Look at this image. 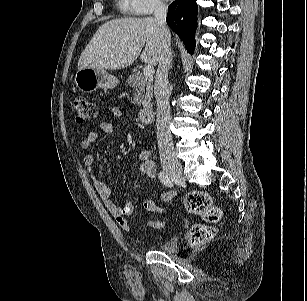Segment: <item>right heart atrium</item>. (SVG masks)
Segmentation results:
<instances>
[{"instance_id":"1","label":"right heart atrium","mask_w":307,"mask_h":301,"mask_svg":"<svg viewBox=\"0 0 307 301\" xmlns=\"http://www.w3.org/2000/svg\"><path fill=\"white\" fill-rule=\"evenodd\" d=\"M125 7L137 15H149L166 8L165 0H124Z\"/></svg>"}]
</instances>
